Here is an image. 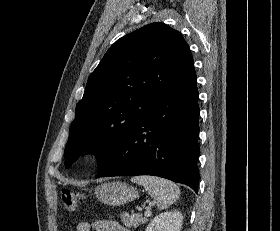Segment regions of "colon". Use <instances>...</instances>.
I'll use <instances>...</instances> for the list:
<instances>
[{"label":"colon","instance_id":"1","mask_svg":"<svg viewBox=\"0 0 280 231\" xmlns=\"http://www.w3.org/2000/svg\"><path fill=\"white\" fill-rule=\"evenodd\" d=\"M60 198L67 209H74L78 206L77 198L70 191L63 190Z\"/></svg>","mask_w":280,"mask_h":231}]
</instances>
